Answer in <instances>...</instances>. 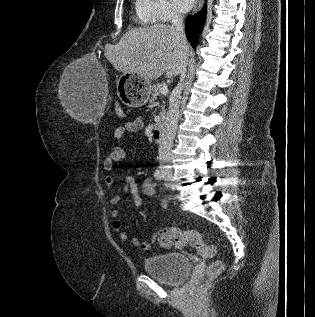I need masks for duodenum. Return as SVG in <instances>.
<instances>
[{
  "mask_svg": "<svg viewBox=\"0 0 315 317\" xmlns=\"http://www.w3.org/2000/svg\"><path fill=\"white\" fill-rule=\"evenodd\" d=\"M164 138V124L162 122H158L155 125L153 130V139L157 143H161Z\"/></svg>",
  "mask_w": 315,
  "mask_h": 317,
  "instance_id": "obj_1",
  "label": "duodenum"
}]
</instances>
